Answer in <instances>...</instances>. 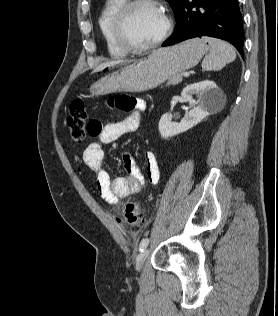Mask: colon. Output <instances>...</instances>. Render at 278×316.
<instances>
[{
  "label": "colon",
  "mask_w": 278,
  "mask_h": 316,
  "mask_svg": "<svg viewBox=\"0 0 278 316\" xmlns=\"http://www.w3.org/2000/svg\"><path fill=\"white\" fill-rule=\"evenodd\" d=\"M70 138L74 143H82L87 133L96 135L100 130L98 123L88 121V113L85 103L82 100H74L70 105L67 118ZM118 221H124L130 226H137L142 221L140 206L137 202H127L123 208L122 216Z\"/></svg>",
  "instance_id": "5ec220e1"
}]
</instances>
